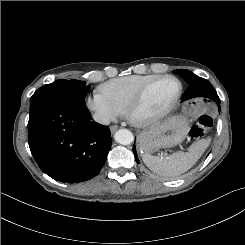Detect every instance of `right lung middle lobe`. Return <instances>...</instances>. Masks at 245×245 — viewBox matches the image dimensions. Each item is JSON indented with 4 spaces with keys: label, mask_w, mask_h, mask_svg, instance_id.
<instances>
[{
    "label": "right lung middle lobe",
    "mask_w": 245,
    "mask_h": 245,
    "mask_svg": "<svg viewBox=\"0 0 245 245\" xmlns=\"http://www.w3.org/2000/svg\"><path fill=\"white\" fill-rule=\"evenodd\" d=\"M90 86L79 80H56L40 87L30 98V109L47 101H58L70 106L86 107L85 97Z\"/></svg>",
    "instance_id": "right-lung-middle-lobe-1"
}]
</instances>
